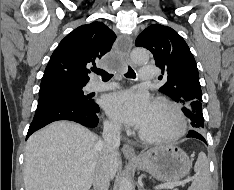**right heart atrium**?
I'll use <instances>...</instances> for the list:
<instances>
[{
  "mask_svg": "<svg viewBox=\"0 0 234 190\" xmlns=\"http://www.w3.org/2000/svg\"><path fill=\"white\" fill-rule=\"evenodd\" d=\"M107 127L111 131H118L119 130V126L114 122H108Z\"/></svg>",
  "mask_w": 234,
  "mask_h": 190,
  "instance_id": "obj_1",
  "label": "right heart atrium"
}]
</instances>
